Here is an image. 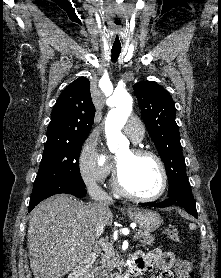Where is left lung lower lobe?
<instances>
[{
  "instance_id": "1",
  "label": "left lung lower lobe",
  "mask_w": 221,
  "mask_h": 278,
  "mask_svg": "<svg viewBox=\"0 0 221 278\" xmlns=\"http://www.w3.org/2000/svg\"><path fill=\"white\" fill-rule=\"evenodd\" d=\"M140 205L151 206V207H168L171 205H178L183 207L188 213L192 214L197 218V210L194 197L190 185H185L177 189L167 200L162 202H148L140 203Z\"/></svg>"
}]
</instances>
